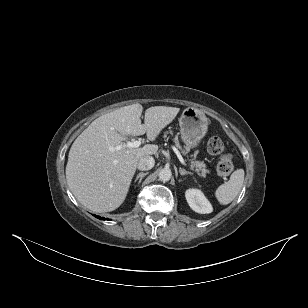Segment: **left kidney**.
<instances>
[{
	"label": "left kidney",
	"instance_id": "left-kidney-1",
	"mask_svg": "<svg viewBox=\"0 0 308 308\" xmlns=\"http://www.w3.org/2000/svg\"><path fill=\"white\" fill-rule=\"evenodd\" d=\"M186 200L192 210L201 214H208L213 211L212 205L198 189H189L185 193Z\"/></svg>",
	"mask_w": 308,
	"mask_h": 308
}]
</instances>
